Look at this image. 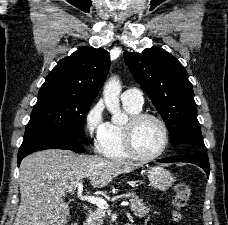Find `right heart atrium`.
Wrapping results in <instances>:
<instances>
[{
    "label": "right heart atrium",
    "instance_id": "right-heart-atrium-1",
    "mask_svg": "<svg viewBox=\"0 0 228 225\" xmlns=\"http://www.w3.org/2000/svg\"><path fill=\"white\" fill-rule=\"evenodd\" d=\"M84 128L95 147L108 132L110 122L106 120L105 108L102 100L91 105L84 114Z\"/></svg>",
    "mask_w": 228,
    "mask_h": 225
}]
</instances>
